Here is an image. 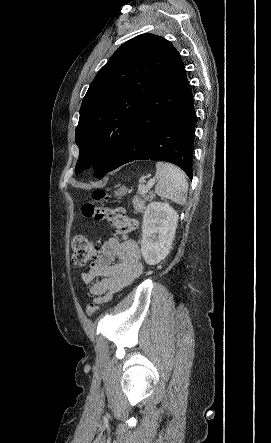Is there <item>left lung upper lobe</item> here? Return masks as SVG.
I'll use <instances>...</instances> for the list:
<instances>
[{
	"label": "left lung upper lobe",
	"mask_w": 271,
	"mask_h": 443,
	"mask_svg": "<svg viewBox=\"0 0 271 443\" xmlns=\"http://www.w3.org/2000/svg\"><path fill=\"white\" fill-rule=\"evenodd\" d=\"M176 52L163 37L142 34L121 45L99 70L80 108L76 173L91 164L95 177L109 172L151 83Z\"/></svg>",
	"instance_id": "5c2ea615"
}]
</instances>
